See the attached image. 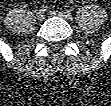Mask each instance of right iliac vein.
<instances>
[{"label":"right iliac vein","instance_id":"63e3f726","mask_svg":"<svg viewBox=\"0 0 111 106\" xmlns=\"http://www.w3.org/2000/svg\"><path fill=\"white\" fill-rule=\"evenodd\" d=\"M44 17H45V14H44L43 11L39 10V11L36 13V19H37V20L41 21V20L44 19Z\"/></svg>","mask_w":111,"mask_h":106}]
</instances>
